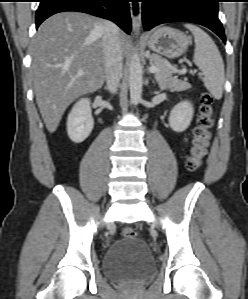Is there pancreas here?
<instances>
[{
  "label": "pancreas",
  "mask_w": 248,
  "mask_h": 299,
  "mask_svg": "<svg viewBox=\"0 0 248 299\" xmlns=\"http://www.w3.org/2000/svg\"><path fill=\"white\" fill-rule=\"evenodd\" d=\"M151 65L159 68V72L155 73V79L161 88H167L170 91H182L190 88L186 81L179 80L177 77H172L171 71L166 60L158 55L151 56Z\"/></svg>",
  "instance_id": "pancreas-1"
}]
</instances>
